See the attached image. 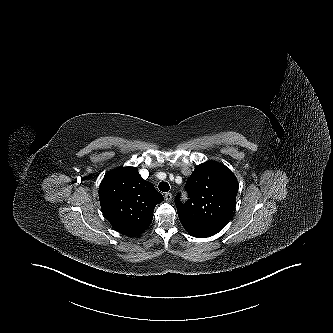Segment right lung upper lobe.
<instances>
[{
	"mask_svg": "<svg viewBox=\"0 0 333 333\" xmlns=\"http://www.w3.org/2000/svg\"><path fill=\"white\" fill-rule=\"evenodd\" d=\"M99 198L103 214L113 228L130 237L149 227L155 206L163 200L135 167L108 173L100 184Z\"/></svg>",
	"mask_w": 333,
	"mask_h": 333,
	"instance_id": "obj_1",
	"label": "right lung upper lobe"
}]
</instances>
